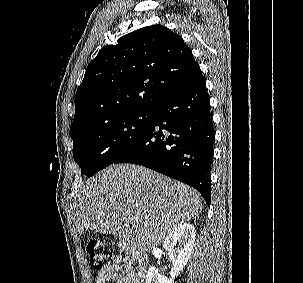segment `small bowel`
<instances>
[{
    "label": "small bowel",
    "mask_w": 303,
    "mask_h": 283,
    "mask_svg": "<svg viewBox=\"0 0 303 283\" xmlns=\"http://www.w3.org/2000/svg\"><path fill=\"white\" fill-rule=\"evenodd\" d=\"M96 283H144V276L136 269L133 258L118 256L98 273Z\"/></svg>",
    "instance_id": "obj_1"
}]
</instances>
